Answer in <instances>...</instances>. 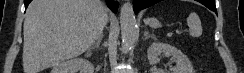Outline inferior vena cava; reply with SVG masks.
I'll return each mask as SVG.
<instances>
[{
  "mask_svg": "<svg viewBox=\"0 0 244 73\" xmlns=\"http://www.w3.org/2000/svg\"><path fill=\"white\" fill-rule=\"evenodd\" d=\"M105 9V12H106V20L108 19V16H107V9L104 7Z\"/></svg>",
  "mask_w": 244,
  "mask_h": 73,
  "instance_id": "inferior-vena-cava-1",
  "label": "inferior vena cava"
}]
</instances>
